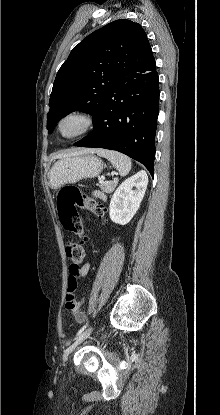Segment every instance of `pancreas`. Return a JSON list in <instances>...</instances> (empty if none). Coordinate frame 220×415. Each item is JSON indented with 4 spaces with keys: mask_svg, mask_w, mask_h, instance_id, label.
Returning a JSON list of instances; mask_svg holds the SVG:
<instances>
[{
    "mask_svg": "<svg viewBox=\"0 0 220 415\" xmlns=\"http://www.w3.org/2000/svg\"><path fill=\"white\" fill-rule=\"evenodd\" d=\"M118 184V180H113V181H105V182H99V184H97L99 186V188L104 191L105 193H112L116 186Z\"/></svg>",
    "mask_w": 220,
    "mask_h": 415,
    "instance_id": "pancreas-1",
    "label": "pancreas"
}]
</instances>
